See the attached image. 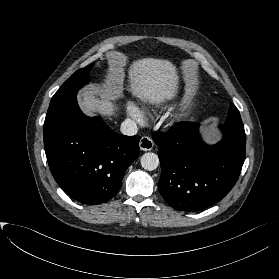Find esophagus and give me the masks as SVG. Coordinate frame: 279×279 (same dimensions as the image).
I'll return each mask as SVG.
<instances>
[{
    "label": "esophagus",
    "instance_id": "34e87169",
    "mask_svg": "<svg viewBox=\"0 0 279 279\" xmlns=\"http://www.w3.org/2000/svg\"><path fill=\"white\" fill-rule=\"evenodd\" d=\"M154 146V142L151 138L144 136L140 139L139 147L143 151H150Z\"/></svg>",
    "mask_w": 279,
    "mask_h": 279
}]
</instances>
